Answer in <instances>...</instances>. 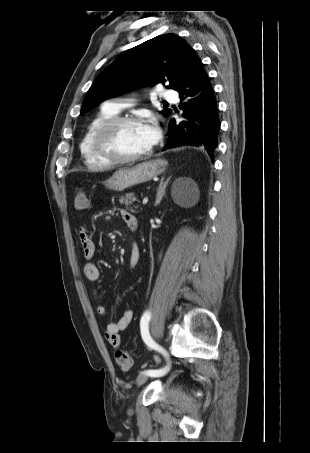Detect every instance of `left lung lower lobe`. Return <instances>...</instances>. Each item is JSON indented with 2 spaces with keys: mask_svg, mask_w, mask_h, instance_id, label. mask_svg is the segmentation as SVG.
I'll list each match as a JSON object with an SVG mask.
<instances>
[{
  "mask_svg": "<svg viewBox=\"0 0 310 453\" xmlns=\"http://www.w3.org/2000/svg\"><path fill=\"white\" fill-rule=\"evenodd\" d=\"M174 90L179 92L181 100L188 98L180 106L187 121L176 123L175 119L170 120L169 139L163 151L182 145L203 146L213 158L220 129L217 102L209 77L195 52Z\"/></svg>",
  "mask_w": 310,
  "mask_h": 453,
  "instance_id": "obj_1",
  "label": "left lung lower lobe"
}]
</instances>
